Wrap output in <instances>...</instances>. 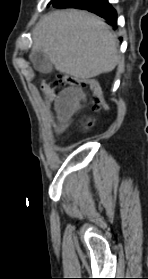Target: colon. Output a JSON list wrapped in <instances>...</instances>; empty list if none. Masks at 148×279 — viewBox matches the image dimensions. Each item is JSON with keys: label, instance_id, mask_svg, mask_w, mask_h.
I'll use <instances>...</instances> for the list:
<instances>
[{"label": "colon", "instance_id": "obj_1", "mask_svg": "<svg viewBox=\"0 0 148 279\" xmlns=\"http://www.w3.org/2000/svg\"><path fill=\"white\" fill-rule=\"evenodd\" d=\"M66 87L89 89L94 95L97 109H107L101 85L94 78L78 79L70 76H62L56 81L42 84L41 93L46 102H54L61 90Z\"/></svg>", "mask_w": 148, "mask_h": 279}]
</instances>
